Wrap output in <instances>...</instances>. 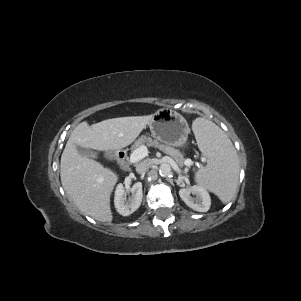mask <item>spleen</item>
I'll use <instances>...</instances> for the list:
<instances>
[{"label": "spleen", "mask_w": 301, "mask_h": 301, "mask_svg": "<svg viewBox=\"0 0 301 301\" xmlns=\"http://www.w3.org/2000/svg\"><path fill=\"white\" fill-rule=\"evenodd\" d=\"M201 152L207 157L206 167L198 170L195 180L223 203L231 201L239 178L236 150L227 135L212 121L197 118L192 125Z\"/></svg>", "instance_id": "3e777b00"}]
</instances>
